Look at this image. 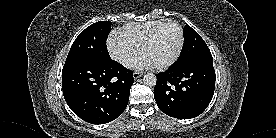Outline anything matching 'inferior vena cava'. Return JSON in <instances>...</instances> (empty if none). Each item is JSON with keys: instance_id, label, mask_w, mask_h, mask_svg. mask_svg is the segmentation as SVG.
I'll use <instances>...</instances> for the list:
<instances>
[{"instance_id": "602c4592", "label": "inferior vena cava", "mask_w": 276, "mask_h": 138, "mask_svg": "<svg viewBox=\"0 0 276 138\" xmlns=\"http://www.w3.org/2000/svg\"><path fill=\"white\" fill-rule=\"evenodd\" d=\"M123 65L126 67H131L133 65V60H124Z\"/></svg>"}]
</instances>
